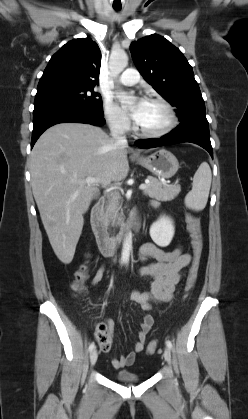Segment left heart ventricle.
I'll return each instance as SVG.
<instances>
[{
    "label": "left heart ventricle",
    "mask_w": 248,
    "mask_h": 419,
    "mask_svg": "<svg viewBox=\"0 0 248 419\" xmlns=\"http://www.w3.org/2000/svg\"><path fill=\"white\" fill-rule=\"evenodd\" d=\"M168 122L165 109L158 103L147 101L142 117L137 121L139 127L146 131L161 129Z\"/></svg>",
    "instance_id": "b2bd125f"
}]
</instances>
